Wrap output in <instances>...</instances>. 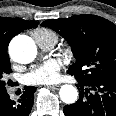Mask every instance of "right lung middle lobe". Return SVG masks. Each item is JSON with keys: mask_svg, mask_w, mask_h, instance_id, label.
I'll return each instance as SVG.
<instances>
[{"mask_svg": "<svg viewBox=\"0 0 116 116\" xmlns=\"http://www.w3.org/2000/svg\"><path fill=\"white\" fill-rule=\"evenodd\" d=\"M11 72L9 56L7 54L0 55V96L7 94L5 76Z\"/></svg>", "mask_w": 116, "mask_h": 116, "instance_id": "1", "label": "right lung middle lobe"}]
</instances>
